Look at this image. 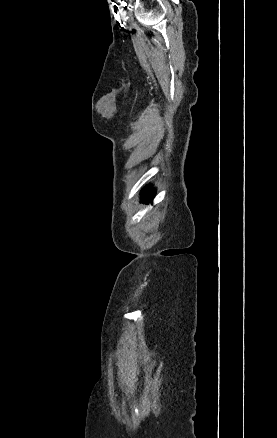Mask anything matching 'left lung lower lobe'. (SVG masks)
Listing matches in <instances>:
<instances>
[{
	"label": "left lung lower lobe",
	"instance_id": "0a47b994",
	"mask_svg": "<svg viewBox=\"0 0 277 438\" xmlns=\"http://www.w3.org/2000/svg\"><path fill=\"white\" fill-rule=\"evenodd\" d=\"M154 194H155L154 190L151 187H147V188L143 189L142 196H143L145 202L148 203V202L152 201Z\"/></svg>",
	"mask_w": 277,
	"mask_h": 438
}]
</instances>
